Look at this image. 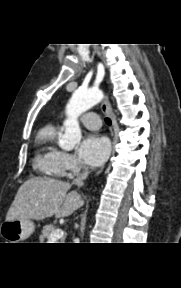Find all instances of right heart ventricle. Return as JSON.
Instances as JSON below:
<instances>
[{"instance_id":"obj_1","label":"right heart ventricle","mask_w":181,"mask_h":288,"mask_svg":"<svg viewBox=\"0 0 181 288\" xmlns=\"http://www.w3.org/2000/svg\"><path fill=\"white\" fill-rule=\"evenodd\" d=\"M56 138L57 128L52 124L41 128L36 137L35 167L51 176H58L62 164L63 152L57 147Z\"/></svg>"}]
</instances>
